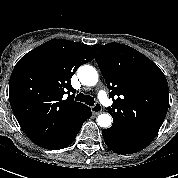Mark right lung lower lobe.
Wrapping results in <instances>:
<instances>
[{"mask_svg":"<svg viewBox=\"0 0 178 178\" xmlns=\"http://www.w3.org/2000/svg\"><path fill=\"white\" fill-rule=\"evenodd\" d=\"M92 115L91 110H86L85 115L83 116V119L80 123V125L66 138L56 140V141H51L47 142L44 144H40L39 146L45 148V149H51V150H59L62 148H65L66 146L70 145L74 139L76 138V135L80 131L83 123Z\"/></svg>","mask_w":178,"mask_h":178,"instance_id":"right-lung-lower-lobe-1","label":"right lung lower lobe"}]
</instances>
